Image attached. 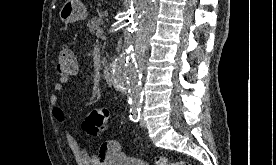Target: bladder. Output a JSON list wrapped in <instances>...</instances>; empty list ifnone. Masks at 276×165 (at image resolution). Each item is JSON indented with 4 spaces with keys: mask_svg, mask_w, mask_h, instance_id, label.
I'll list each match as a JSON object with an SVG mask.
<instances>
[{
    "mask_svg": "<svg viewBox=\"0 0 276 165\" xmlns=\"http://www.w3.org/2000/svg\"><path fill=\"white\" fill-rule=\"evenodd\" d=\"M108 165H149V164L140 159L118 154L113 157V159Z\"/></svg>",
    "mask_w": 276,
    "mask_h": 165,
    "instance_id": "bladder-1",
    "label": "bladder"
}]
</instances>
